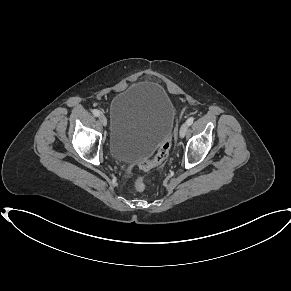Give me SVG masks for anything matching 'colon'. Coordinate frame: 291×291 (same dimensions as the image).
I'll use <instances>...</instances> for the list:
<instances>
[{
    "mask_svg": "<svg viewBox=\"0 0 291 291\" xmlns=\"http://www.w3.org/2000/svg\"><path fill=\"white\" fill-rule=\"evenodd\" d=\"M172 145V139H166L157 149L156 154L152 159H145L139 162V168L142 171H149L155 166L161 164L168 156ZM146 182L143 178H137L133 181L132 187L137 192H142L145 189Z\"/></svg>",
    "mask_w": 291,
    "mask_h": 291,
    "instance_id": "colon-1",
    "label": "colon"
}]
</instances>
